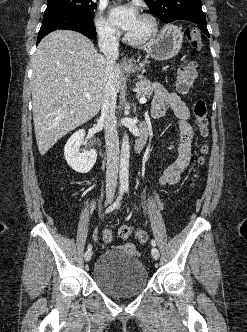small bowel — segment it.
Segmentation results:
<instances>
[{"label": "small bowel", "instance_id": "c3829d8e", "mask_svg": "<svg viewBox=\"0 0 247 332\" xmlns=\"http://www.w3.org/2000/svg\"><path fill=\"white\" fill-rule=\"evenodd\" d=\"M170 108L178 118L180 141L176 160L171 163L160 177V182L166 185L176 184L190 164L193 149V129L188 122L190 113L181 98L161 86L156 87L151 104V116L160 118Z\"/></svg>", "mask_w": 247, "mask_h": 332}]
</instances>
